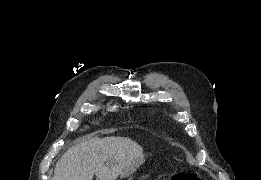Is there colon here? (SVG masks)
Instances as JSON below:
<instances>
[{
    "label": "colon",
    "instance_id": "1",
    "mask_svg": "<svg viewBox=\"0 0 261 180\" xmlns=\"http://www.w3.org/2000/svg\"><path fill=\"white\" fill-rule=\"evenodd\" d=\"M195 173H176L171 176V180H199Z\"/></svg>",
    "mask_w": 261,
    "mask_h": 180
}]
</instances>
